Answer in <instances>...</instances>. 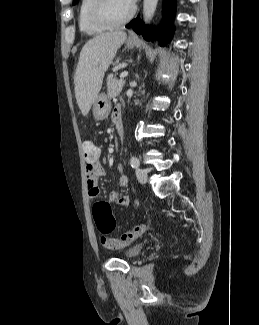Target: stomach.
I'll use <instances>...</instances> for the list:
<instances>
[{"mask_svg":"<svg viewBox=\"0 0 259 325\" xmlns=\"http://www.w3.org/2000/svg\"><path fill=\"white\" fill-rule=\"evenodd\" d=\"M136 45L135 41L128 40L126 46L129 49H133ZM93 115L96 120H103L108 117L111 110V103L109 98L105 94L97 95L93 103Z\"/></svg>","mask_w":259,"mask_h":325,"instance_id":"0dacf381","label":"stomach"}]
</instances>
